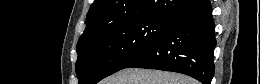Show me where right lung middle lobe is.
Masks as SVG:
<instances>
[{
    "label": "right lung middle lobe",
    "mask_w": 260,
    "mask_h": 84,
    "mask_svg": "<svg viewBox=\"0 0 260 84\" xmlns=\"http://www.w3.org/2000/svg\"><path fill=\"white\" fill-rule=\"evenodd\" d=\"M172 19L143 17L121 22L77 46L79 84H95L126 68L164 32Z\"/></svg>",
    "instance_id": "obj_1"
}]
</instances>
